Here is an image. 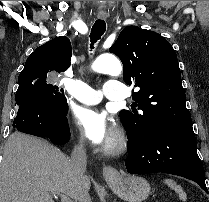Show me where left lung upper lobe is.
Masks as SVG:
<instances>
[{
  "instance_id": "1",
  "label": "left lung upper lobe",
  "mask_w": 209,
  "mask_h": 202,
  "mask_svg": "<svg viewBox=\"0 0 209 202\" xmlns=\"http://www.w3.org/2000/svg\"><path fill=\"white\" fill-rule=\"evenodd\" d=\"M109 51L123 63L124 82L140 88L132 94L131 110L119 113L127 137L147 139L172 125L192 122L177 55L165 38L127 26Z\"/></svg>"
}]
</instances>
